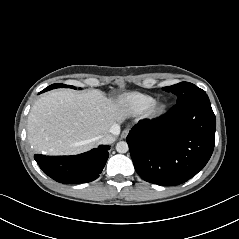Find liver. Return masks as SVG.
I'll return each mask as SVG.
<instances>
[{
  "instance_id": "obj_1",
  "label": "liver",
  "mask_w": 239,
  "mask_h": 239,
  "mask_svg": "<svg viewBox=\"0 0 239 239\" xmlns=\"http://www.w3.org/2000/svg\"><path fill=\"white\" fill-rule=\"evenodd\" d=\"M129 115L120 100L98 89L51 91L40 97L28 115L27 137L37 152L73 155L99 144Z\"/></svg>"
}]
</instances>
